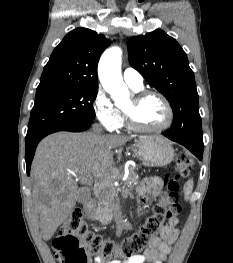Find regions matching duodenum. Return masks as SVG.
<instances>
[{
  "label": "duodenum",
  "mask_w": 233,
  "mask_h": 263,
  "mask_svg": "<svg viewBox=\"0 0 233 263\" xmlns=\"http://www.w3.org/2000/svg\"><path fill=\"white\" fill-rule=\"evenodd\" d=\"M94 202L91 198H87L84 202V210L88 213H90L93 209Z\"/></svg>",
  "instance_id": "410a0bca"
}]
</instances>
